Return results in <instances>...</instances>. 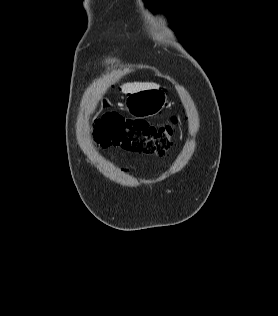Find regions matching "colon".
I'll use <instances>...</instances> for the list:
<instances>
[{
  "label": "colon",
  "instance_id": "1",
  "mask_svg": "<svg viewBox=\"0 0 278 316\" xmlns=\"http://www.w3.org/2000/svg\"><path fill=\"white\" fill-rule=\"evenodd\" d=\"M176 124V117L172 118L171 124L153 126L144 120L107 113L96 123L95 141L101 148L118 147L163 156L172 145Z\"/></svg>",
  "mask_w": 278,
  "mask_h": 316
}]
</instances>
